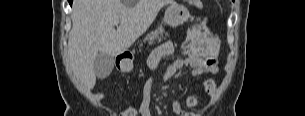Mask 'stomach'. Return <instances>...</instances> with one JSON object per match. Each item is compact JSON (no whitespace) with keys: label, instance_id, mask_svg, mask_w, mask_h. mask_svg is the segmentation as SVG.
I'll list each match as a JSON object with an SVG mask.
<instances>
[{"label":"stomach","instance_id":"1","mask_svg":"<svg viewBox=\"0 0 305 116\" xmlns=\"http://www.w3.org/2000/svg\"><path fill=\"white\" fill-rule=\"evenodd\" d=\"M189 17L188 9L176 2L170 4L165 10L164 22L171 26L177 27L184 23ZM133 69V59H124L120 64L122 72H129Z\"/></svg>","mask_w":305,"mask_h":116}]
</instances>
